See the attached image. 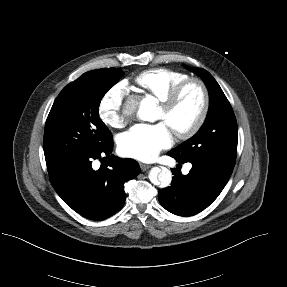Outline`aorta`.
Here are the masks:
<instances>
[{
    "mask_svg": "<svg viewBox=\"0 0 287 287\" xmlns=\"http://www.w3.org/2000/svg\"><path fill=\"white\" fill-rule=\"evenodd\" d=\"M156 108V103L152 98L146 97L141 100L131 97L125 104L124 113L131 115L137 112L138 117L144 121H150ZM150 181L162 188L168 187L172 181V173L166 167H153L149 172Z\"/></svg>",
    "mask_w": 287,
    "mask_h": 287,
    "instance_id": "1",
    "label": "aorta"
}]
</instances>
